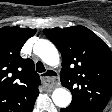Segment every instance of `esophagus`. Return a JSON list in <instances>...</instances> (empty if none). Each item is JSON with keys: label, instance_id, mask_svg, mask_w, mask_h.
Instances as JSON below:
<instances>
[{"label": "esophagus", "instance_id": "esophagus-1", "mask_svg": "<svg viewBox=\"0 0 112 112\" xmlns=\"http://www.w3.org/2000/svg\"><path fill=\"white\" fill-rule=\"evenodd\" d=\"M41 80L49 90H52L58 85L57 73L51 69H48L45 73L41 75Z\"/></svg>", "mask_w": 112, "mask_h": 112}]
</instances>
